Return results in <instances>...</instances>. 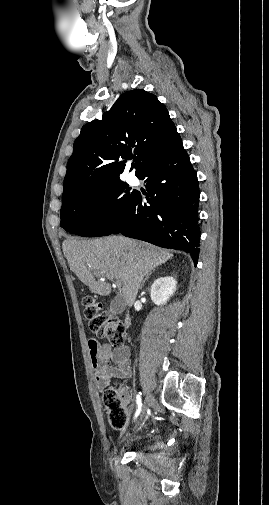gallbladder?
I'll return each instance as SVG.
<instances>
[{"label":"gallbladder","mask_w":269,"mask_h":505,"mask_svg":"<svg viewBox=\"0 0 269 505\" xmlns=\"http://www.w3.org/2000/svg\"><path fill=\"white\" fill-rule=\"evenodd\" d=\"M126 304L122 296L115 297L109 306V314H121L125 310Z\"/></svg>","instance_id":"bac80fb5"}]
</instances>
